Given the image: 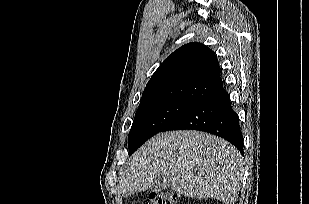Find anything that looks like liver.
<instances>
[{"label": "liver", "instance_id": "obj_1", "mask_svg": "<svg viewBox=\"0 0 309 204\" xmlns=\"http://www.w3.org/2000/svg\"><path fill=\"white\" fill-rule=\"evenodd\" d=\"M243 170L241 154L224 139L200 131H171L154 136L134 153L121 173L119 189L128 197L164 176L179 195L235 204Z\"/></svg>", "mask_w": 309, "mask_h": 204}]
</instances>
